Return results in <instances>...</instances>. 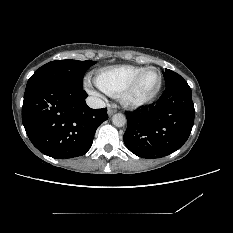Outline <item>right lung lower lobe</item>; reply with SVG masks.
Here are the masks:
<instances>
[{
  "label": "right lung lower lobe",
  "mask_w": 233,
  "mask_h": 233,
  "mask_svg": "<svg viewBox=\"0 0 233 233\" xmlns=\"http://www.w3.org/2000/svg\"><path fill=\"white\" fill-rule=\"evenodd\" d=\"M83 87L46 81L26 88L22 122L32 144L55 159L84 155L107 109H92Z\"/></svg>",
  "instance_id": "1"
}]
</instances>
